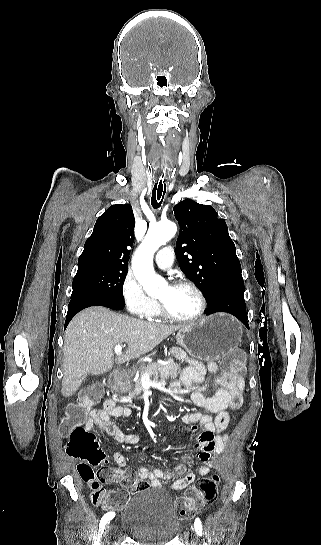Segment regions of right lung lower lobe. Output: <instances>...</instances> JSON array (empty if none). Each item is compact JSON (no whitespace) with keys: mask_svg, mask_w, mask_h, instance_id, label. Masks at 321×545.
<instances>
[{"mask_svg":"<svg viewBox=\"0 0 321 545\" xmlns=\"http://www.w3.org/2000/svg\"><path fill=\"white\" fill-rule=\"evenodd\" d=\"M90 306H104L115 310H121L125 306V302H118L101 297L82 296L70 301L68 305V312L65 321V327L70 320L82 309Z\"/></svg>","mask_w":321,"mask_h":545,"instance_id":"obj_1","label":"right lung lower lobe"}]
</instances>
